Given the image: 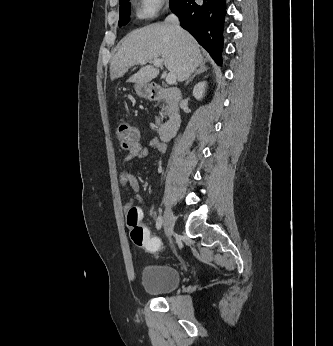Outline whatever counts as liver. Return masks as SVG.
<instances>
[{"instance_id": "6515ba94", "label": "liver", "mask_w": 333, "mask_h": 346, "mask_svg": "<svg viewBox=\"0 0 333 346\" xmlns=\"http://www.w3.org/2000/svg\"><path fill=\"white\" fill-rule=\"evenodd\" d=\"M162 60L170 73L182 82L203 62L197 41L186 31L170 23L148 25L132 31L122 41L110 65L111 80L122 77L131 66L145 60ZM141 64V63H140ZM159 74L152 65L142 67L129 82L148 84Z\"/></svg>"}]
</instances>
